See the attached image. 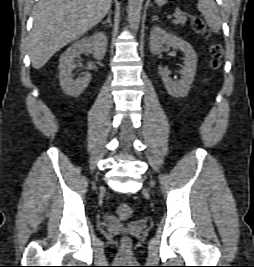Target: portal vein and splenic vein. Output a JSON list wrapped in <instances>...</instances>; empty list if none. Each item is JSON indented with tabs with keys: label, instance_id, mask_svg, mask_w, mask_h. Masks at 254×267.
Instances as JSON below:
<instances>
[{
	"label": "portal vein and splenic vein",
	"instance_id": "portal-vein-and-splenic-vein-1",
	"mask_svg": "<svg viewBox=\"0 0 254 267\" xmlns=\"http://www.w3.org/2000/svg\"><path fill=\"white\" fill-rule=\"evenodd\" d=\"M184 14V12L180 11L179 9H176L175 13L173 14L174 17H178L180 15Z\"/></svg>",
	"mask_w": 254,
	"mask_h": 267
}]
</instances>
